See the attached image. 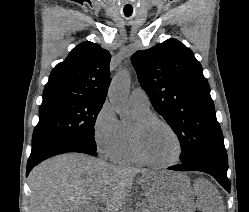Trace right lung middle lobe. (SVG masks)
<instances>
[{
    "label": "right lung middle lobe",
    "instance_id": "obj_1",
    "mask_svg": "<svg viewBox=\"0 0 249 212\" xmlns=\"http://www.w3.org/2000/svg\"><path fill=\"white\" fill-rule=\"evenodd\" d=\"M103 102L83 96L57 95L43 97L39 122L34 129L32 146L55 138H73L92 152L97 150L94 125ZM95 155V154H92Z\"/></svg>",
    "mask_w": 249,
    "mask_h": 212
}]
</instances>
